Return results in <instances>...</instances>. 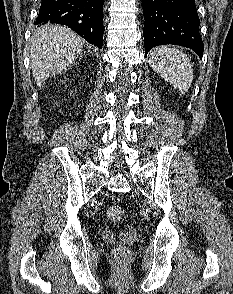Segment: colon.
Returning a JSON list of instances; mask_svg holds the SVG:
<instances>
[{
	"label": "colon",
	"mask_w": 233,
	"mask_h": 294,
	"mask_svg": "<svg viewBox=\"0 0 233 294\" xmlns=\"http://www.w3.org/2000/svg\"><path fill=\"white\" fill-rule=\"evenodd\" d=\"M124 211L122 207L114 205L107 209V217L113 222L119 221L123 217ZM115 259L118 263L123 264L129 255L128 249L124 246H119L115 250Z\"/></svg>",
	"instance_id": "colon-1"
}]
</instances>
